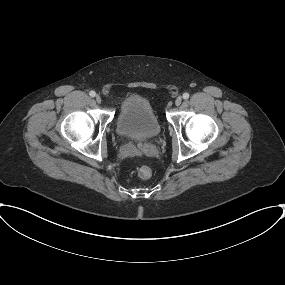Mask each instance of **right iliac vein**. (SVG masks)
<instances>
[{
  "instance_id": "right-iliac-vein-1",
  "label": "right iliac vein",
  "mask_w": 285,
  "mask_h": 285,
  "mask_svg": "<svg viewBox=\"0 0 285 285\" xmlns=\"http://www.w3.org/2000/svg\"><path fill=\"white\" fill-rule=\"evenodd\" d=\"M95 99H96L97 103H101V101H102V99L99 95H96Z\"/></svg>"
}]
</instances>
